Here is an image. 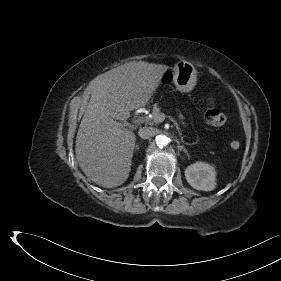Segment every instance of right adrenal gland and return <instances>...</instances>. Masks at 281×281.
Segmentation results:
<instances>
[{
  "label": "right adrenal gland",
  "mask_w": 281,
  "mask_h": 281,
  "mask_svg": "<svg viewBox=\"0 0 281 281\" xmlns=\"http://www.w3.org/2000/svg\"><path fill=\"white\" fill-rule=\"evenodd\" d=\"M135 150H139V145L138 144L135 146Z\"/></svg>",
  "instance_id": "right-adrenal-gland-1"
}]
</instances>
